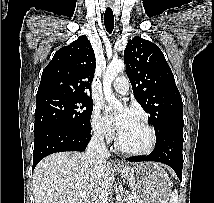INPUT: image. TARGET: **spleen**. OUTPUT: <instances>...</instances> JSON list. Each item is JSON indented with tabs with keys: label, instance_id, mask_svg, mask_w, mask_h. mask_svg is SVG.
I'll return each instance as SVG.
<instances>
[{
	"label": "spleen",
	"instance_id": "3e777b00",
	"mask_svg": "<svg viewBox=\"0 0 214 203\" xmlns=\"http://www.w3.org/2000/svg\"><path fill=\"white\" fill-rule=\"evenodd\" d=\"M170 203H178V192L176 189L171 193Z\"/></svg>",
	"mask_w": 214,
	"mask_h": 203
}]
</instances>
